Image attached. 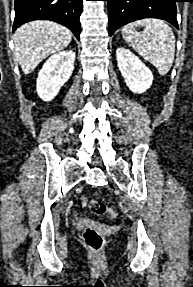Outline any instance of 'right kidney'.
Returning <instances> with one entry per match:
<instances>
[{
	"mask_svg": "<svg viewBox=\"0 0 193 287\" xmlns=\"http://www.w3.org/2000/svg\"><path fill=\"white\" fill-rule=\"evenodd\" d=\"M75 52L66 50L52 55L43 65L37 78V94L51 101L69 80L74 69Z\"/></svg>",
	"mask_w": 193,
	"mask_h": 287,
	"instance_id": "ca27d5eb",
	"label": "right kidney"
}]
</instances>
